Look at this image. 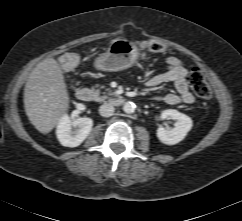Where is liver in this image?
<instances>
[{"mask_svg":"<svg viewBox=\"0 0 242 221\" xmlns=\"http://www.w3.org/2000/svg\"><path fill=\"white\" fill-rule=\"evenodd\" d=\"M24 108L29 121L48 134L69 109V94L60 65L54 58L42 60L32 70L24 88Z\"/></svg>","mask_w":242,"mask_h":221,"instance_id":"6515ba94","label":"liver"}]
</instances>
